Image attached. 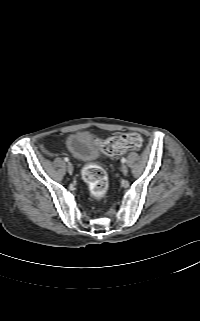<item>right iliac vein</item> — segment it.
Returning <instances> with one entry per match:
<instances>
[{
  "mask_svg": "<svg viewBox=\"0 0 200 321\" xmlns=\"http://www.w3.org/2000/svg\"><path fill=\"white\" fill-rule=\"evenodd\" d=\"M67 170L70 174L73 172V166L70 162L67 163Z\"/></svg>",
  "mask_w": 200,
  "mask_h": 321,
  "instance_id": "63e3f726",
  "label": "right iliac vein"
}]
</instances>
